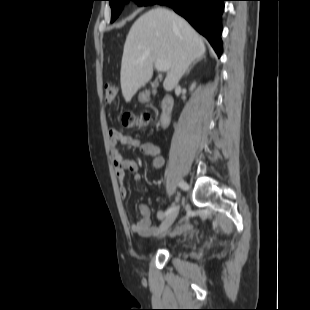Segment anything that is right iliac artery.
<instances>
[{
    "label": "right iliac artery",
    "instance_id": "right-iliac-artery-1",
    "mask_svg": "<svg viewBox=\"0 0 310 310\" xmlns=\"http://www.w3.org/2000/svg\"><path fill=\"white\" fill-rule=\"evenodd\" d=\"M179 187L185 191H187L189 189V186L187 183L185 182H180L179 183ZM177 207L176 206H173L171 208H169L165 213H164V216H167L169 215L173 210H175Z\"/></svg>",
    "mask_w": 310,
    "mask_h": 310
}]
</instances>
